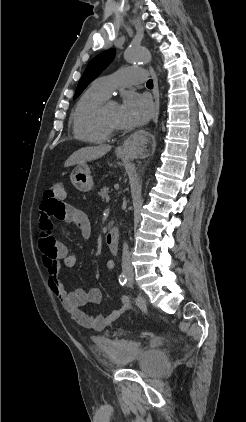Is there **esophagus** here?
I'll return each instance as SVG.
<instances>
[{"label":"esophagus","mask_w":246,"mask_h":422,"mask_svg":"<svg viewBox=\"0 0 246 422\" xmlns=\"http://www.w3.org/2000/svg\"><path fill=\"white\" fill-rule=\"evenodd\" d=\"M150 72H151L153 82H154L153 95H154V101H155V114L153 117V121L154 123H157L158 115H159V107H160L159 86H158L157 75L154 72L152 67H150ZM149 145L152 148V150H154L155 139L153 136L132 135L125 142L124 151L129 155H143L148 152Z\"/></svg>","instance_id":"esophagus-1"}]
</instances>
